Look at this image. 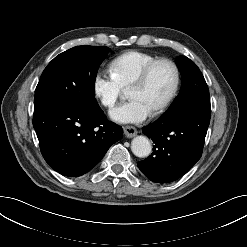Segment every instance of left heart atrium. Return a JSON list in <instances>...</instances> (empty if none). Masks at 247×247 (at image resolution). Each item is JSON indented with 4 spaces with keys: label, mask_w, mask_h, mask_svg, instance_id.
Returning <instances> with one entry per match:
<instances>
[{
    "label": "left heart atrium",
    "mask_w": 247,
    "mask_h": 247,
    "mask_svg": "<svg viewBox=\"0 0 247 247\" xmlns=\"http://www.w3.org/2000/svg\"><path fill=\"white\" fill-rule=\"evenodd\" d=\"M151 112L145 104L137 99H130L110 111V117L119 123H139Z\"/></svg>",
    "instance_id": "left-heart-atrium-1"
}]
</instances>
